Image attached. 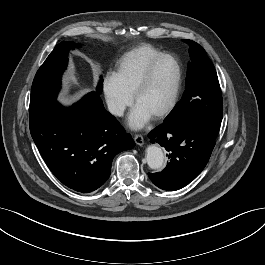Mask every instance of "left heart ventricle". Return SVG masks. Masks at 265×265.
Here are the masks:
<instances>
[{"instance_id":"left-heart-ventricle-1","label":"left heart ventricle","mask_w":265,"mask_h":265,"mask_svg":"<svg viewBox=\"0 0 265 265\" xmlns=\"http://www.w3.org/2000/svg\"><path fill=\"white\" fill-rule=\"evenodd\" d=\"M176 66L173 60L164 59L155 68L152 77L135 102L153 116L163 109L171 99L176 83Z\"/></svg>"}]
</instances>
